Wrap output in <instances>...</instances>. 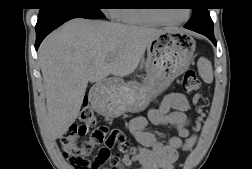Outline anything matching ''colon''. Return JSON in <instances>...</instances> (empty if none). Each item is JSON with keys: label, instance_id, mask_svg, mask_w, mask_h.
Returning a JSON list of instances; mask_svg holds the SVG:
<instances>
[{"label": "colon", "instance_id": "1", "mask_svg": "<svg viewBox=\"0 0 252 169\" xmlns=\"http://www.w3.org/2000/svg\"><path fill=\"white\" fill-rule=\"evenodd\" d=\"M182 87L187 93L201 90V82L194 70H186L183 74ZM79 125H73L61 138V145L67 160L73 169H114L118 157L111 152L117 145L124 153H135L136 147L124 138L116 128L100 126L94 130L93 136L104 143L96 152L90 142L80 143L79 139L96 124V117L89 105H83L79 114Z\"/></svg>", "mask_w": 252, "mask_h": 169}]
</instances>
